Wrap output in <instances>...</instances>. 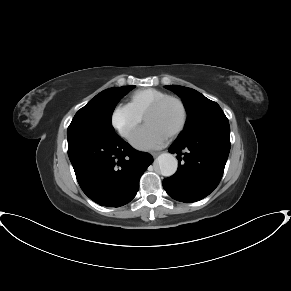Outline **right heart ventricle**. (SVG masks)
I'll return each instance as SVG.
<instances>
[{
  "label": "right heart ventricle",
  "mask_w": 291,
  "mask_h": 291,
  "mask_svg": "<svg viewBox=\"0 0 291 291\" xmlns=\"http://www.w3.org/2000/svg\"><path fill=\"white\" fill-rule=\"evenodd\" d=\"M164 91L155 88H145L134 91L129 98V105L141 116L156 100L167 96Z\"/></svg>",
  "instance_id": "e07e8e85"
}]
</instances>
